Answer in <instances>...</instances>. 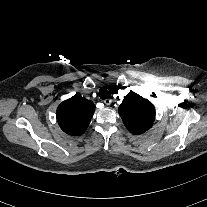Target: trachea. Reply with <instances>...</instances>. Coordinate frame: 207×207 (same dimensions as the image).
<instances>
[{
	"instance_id": "3493384b",
	"label": "trachea",
	"mask_w": 207,
	"mask_h": 207,
	"mask_svg": "<svg viewBox=\"0 0 207 207\" xmlns=\"http://www.w3.org/2000/svg\"><path fill=\"white\" fill-rule=\"evenodd\" d=\"M99 96L101 99H106V98H109L111 95H110V92L107 91L105 88H101L99 90Z\"/></svg>"
}]
</instances>
